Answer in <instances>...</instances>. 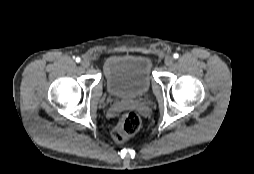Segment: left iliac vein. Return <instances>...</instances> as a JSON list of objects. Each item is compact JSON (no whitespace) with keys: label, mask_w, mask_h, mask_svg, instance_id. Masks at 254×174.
<instances>
[{"label":"left iliac vein","mask_w":254,"mask_h":174,"mask_svg":"<svg viewBox=\"0 0 254 174\" xmlns=\"http://www.w3.org/2000/svg\"><path fill=\"white\" fill-rule=\"evenodd\" d=\"M173 62H174V58H173L172 56H167V57L165 58V64H166L167 66H171V65L173 64Z\"/></svg>","instance_id":"1"}]
</instances>
